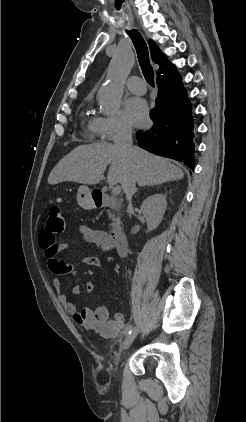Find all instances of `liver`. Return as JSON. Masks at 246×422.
<instances>
[{
    "label": "liver",
    "mask_w": 246,
    "mask_h": 422,
    "mask_svg": "<svg viewBox=\"0 0 246 422\" xmlns=\"http://www.w3.org/2000/svg\"><path fill=\"white\" fill-rule=\"evenodd\" d=\"M135 155L132 159L121 153L111 143H94L80 145L62 158L53 168L49 177L50 185L65 181L80 184H98L110 164L107 183H120L124 187L130 168L136 172L139 186L160 185L184 177L183 170L167 159L154 156L138 147H133Z\"/></svg>",
    "instance_id": "liver-1"
}]
</instances>
